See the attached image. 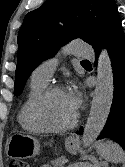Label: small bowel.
Here are the masks:
<instances>
[{"label":"small bowel","mask_w":125,"mask_h":167,"mask_svg":"<svg viewBox=\"0 0 125 167\" xmlns=\"http://www.w3.org/2000/svg\"><path fill=\"white\" fill-rule=\"evenodd\" d=\"M42 167H50L49 165H43Z\"/></svg>","instance_id":"obj_1"}]
</instances>
